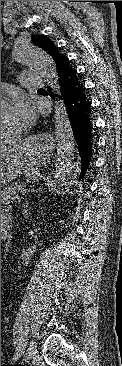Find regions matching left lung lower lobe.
<instances>
[{"mask_svg": "<svg viewBox=\"0 0 122 366\" xmlns=\"http://www.w3.org/2000/svg\"><path fill=\"white\" fill-rule=\"evenodd\" d=\"M62 100L67 108L68 117L80 155L79 178L83 179L89 170L94 144V126L91 118V102L86 88L80 81L77 71L72 68L68 57L63 56L56 64ZM46 95V94H44ZM54 98L55 95H50Z\"/></svg>", "mask_w": 122, "mask_h": 366, "instance_id": "1", "label": "left lung lower lobe"}]
</instances>
